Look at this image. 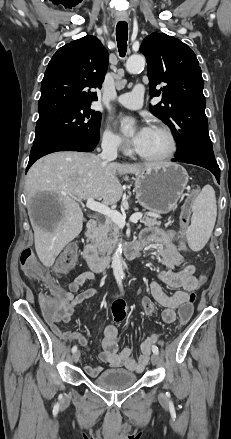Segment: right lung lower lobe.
<instances>
[{"instance_id": "1", "label": "right lung lower lobe", "mask_w": 231, "mask_h": 439, "mask_svg": "<svg viewBox=\"0 0 231 439\" xmlns=\"http://www.w3.org/2000/svg\"><path fill=\"white\" fill-rule=\"evenodd\" d=\"M97 144L96 142L86 140L61 139L33 145L26 170H28L36 160L49 153L57 151L91 152L95 149Z\"/></svg>"}]
</instances>
